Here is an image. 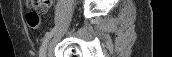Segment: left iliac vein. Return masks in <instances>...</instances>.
<instances>
[{
	"instance_id": "obj_1",
	"label": "left iliac vein",
	"mask_w": 172,
	"mask_h": 57,
	"mask_svg": "<svg viewBox=\"0 0 172 57\" xmlns=\"http://www.w3.org/2000/svg\"><path fill=\"white\" fill-rule=\"evenodd\" d=\"M43 57H46V54L44 53Z\"/></svg>"
}]
</instances>
